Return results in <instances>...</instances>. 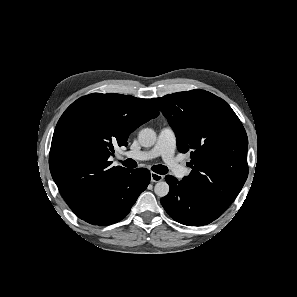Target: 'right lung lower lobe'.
Wrapping results in <instances>:
<instances>
[{
  "mask_svg": "<svg viewBox=\"0 0 297 297\" xmlns=\"http://www.w3.org/2000/svg\"><path fill=\"white\" fill-rule=\"evenodd\" d=\"M150 182V171L130 169L113 183L84 214L78 217L90 224L106 226L122 220Z\"/></svg>",
  "mask_w": 297,
  "mask_h": 297,
  "instance_id": "right-lung-lower-lobe-1",
  "label": "right lung lower lobe"
}]
</instances>
